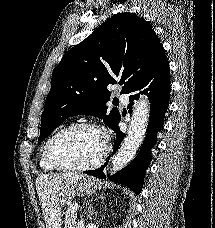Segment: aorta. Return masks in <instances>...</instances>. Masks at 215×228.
I'll return each instance as SVG.
<instances>
[{
    "mask_svg": "<svg viewBox=\"0 0 215 228\" xmlns=\"http://www.w3.org/2000/svg\"><path fill=\"white\" fill-rule=\"evenodd\" d=\"M150 114V102L146 96H142L133 110L128 134L120 146L116 156L112 158L110 166V176L125 168L133 160L137 150H139L146 134Z\"/></svg>",
    "mask_w": 215,
    "mask_h": 228,
    "instance_id": "obj_1",
    "label": "aorta"
}]
</instances>
